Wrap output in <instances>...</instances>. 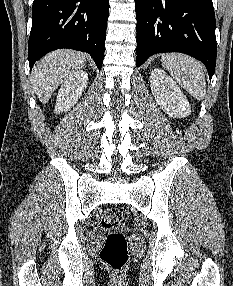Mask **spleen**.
<instances>
[{"label":"spleen","mask_w":233,"mask_h":286,"mask_svg":"<svg viewBox=\"0 0 233 286\" xmlns=\"http://www.w3.org/2000/svg\"><path fill=\"white\" fill-rule=\"evenodd\" d=\"M162 66L194 98L201 100L206 94L204 66L196 59L182 53L161 55Z\"/></svg>","instance_id":"obj_1"}]
</instances>
